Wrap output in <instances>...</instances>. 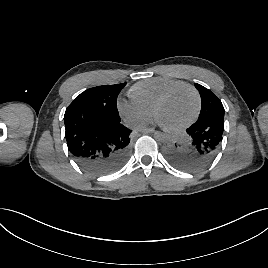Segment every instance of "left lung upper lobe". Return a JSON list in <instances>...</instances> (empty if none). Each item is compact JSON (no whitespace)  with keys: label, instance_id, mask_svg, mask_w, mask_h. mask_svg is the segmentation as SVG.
Instances as JSON below:
<instances>
[{"label":"left lung upper lobe","instance_id":"left-lung-upper-lobe-1","mask_svg":"<svg viewBox=\"0 0 268 268\" xmlns=\"http://www.w3.org/2000/svg\"><path fill=\"white\" fill-rule=\"evenodd\" d=\"M195 87L198 89L202 101L201 112L197 121L224 118V107L219 98L200 84L195 83Z\"/></svg>","mask_w":268,"mask_h":268}]
</instances>
